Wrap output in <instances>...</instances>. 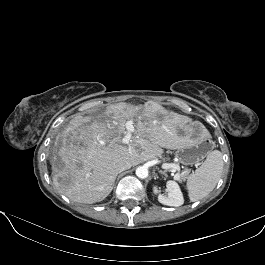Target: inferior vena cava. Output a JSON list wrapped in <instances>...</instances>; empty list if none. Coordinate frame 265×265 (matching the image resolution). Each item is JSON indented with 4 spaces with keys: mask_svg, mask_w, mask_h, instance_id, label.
Wrapping results in <instances>:
<instances>
[{
    "mask_svg": "<svg viewBox=\"0 0 265 265\" xmlns=\"http://www.w3.org/2000/svg\"><path fill=\"white\" fill-rule=\"evenodd\" d=\"M132 167V163L129 160L121 161L117 165V172L120 173L126 169H129Z\"/></svg>",
    "mask_w": 265,
    "mask_h": 265,
    "instance_id": "obj_1",
    "label": "inferior vena cava"
}]
</instances>
